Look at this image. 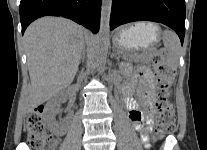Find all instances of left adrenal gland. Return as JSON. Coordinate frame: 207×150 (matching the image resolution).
Instances as JSON below:
<instances>
[{"label":"left adrenal gland","instance_id":"obj_1","mask_svg":"<svg viewBox=\"0 0 207 150\" xmlns=\"http://www.w3.org/2000/svg\"><path fill=\"white\" fill-rule=\"evenodd\" d=\"M112 58H115L117 63L119 64V61H120V55L118 53H116V50L114 49L113 50V53L111 55Z\"/></svg>","mask_w":207,"mask_h":150}]
</instances>
